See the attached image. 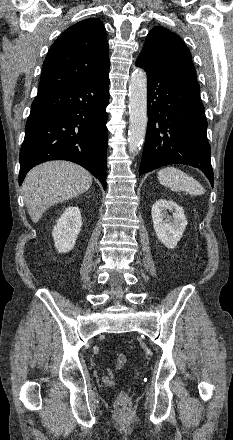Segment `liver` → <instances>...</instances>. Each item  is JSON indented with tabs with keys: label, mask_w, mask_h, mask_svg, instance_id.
Returning <instances> with one entry per match:
<instances>
[{
	"label": "liver",
	"mask_w": 233,
	"mask_h": 440,
	"mask_svg": "<svg viewBox=\"0 0 233 440\" xmlns=\"http://www.w3.org/2000/svg\"><path fill=\"white\" fill-rule=\"evenodd\" d=\"M92 181L87 170L68 161H50L34 167L22 185L31 220L37 223L49 207L86 192Z\"/></svg>",
	"instance_id": "6515ba94"
}]
</instances>
